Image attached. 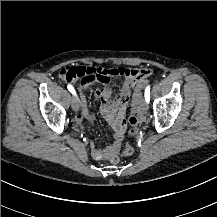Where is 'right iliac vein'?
Here are the masks:
<instances>
[{"mask_svg":"<svg viewBox=\"0 0 217 217\" xmlns=\"http://www.w3.org/2000/svg\"><path fill=\"white\" fill-rule=\"evenodd\" d=\"M71 107L74 111H77L78 110V102L76 100V98H72L71 100Z\"/></svg>","mask_w":217,"mask_h":217,"instance_id":"1","label":"right iliac vein"}]
</instances>
